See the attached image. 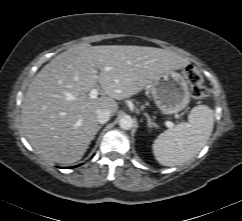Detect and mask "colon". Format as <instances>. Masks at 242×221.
I'll use <instances>...</instances> for the list:
<instances>
[{
    "label": "colon",
    "mask_w": 242,
    "mask_h": 221,
    "mask_svg": "<svg viewBox=\"0 0 242 221\" xmlns=\"http://www.w3.org/2000/svg\"><path fill=\"white\" fill-rule=\"evenodd\" d=\"M185 74L191 85L193 97L198 100L205 99L209 92L202 83L201 74L193 66H187L185 68Z\"/></svg>",
    "instance_id": "5ec220e1"
}]
</instances>
